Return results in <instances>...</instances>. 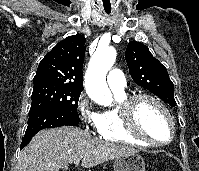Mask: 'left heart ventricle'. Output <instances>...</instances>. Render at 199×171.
Here are the masks:
<instances>
[{"label": "left heart ventricle", "instance_id": "obj_1", "mask_svg": "<svg viewBox=\"0 0 199 171\" xmlns=\"http://www.w3.org/2000/svg\"><path fill=\"white\" fill-rule=\"evenodd\" d=\"M137 121L141 131L152 140L167 141L171 127L164 112L153 102L142 100L137 108Z\"/></svg>", "mask_w": 199, "mask_h": 171}]
</instances>
